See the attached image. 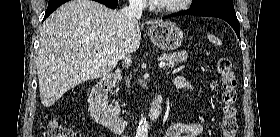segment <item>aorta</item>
<instances>
[{
	"label": "aorta",
	"mask_w": 280,
	"mask_h": 137,
	"mask_svg": "<svg viewBox=\"0 0 280 137\" xmlns=\"http://www.w3.org/2000/svg\"><path fill=\"white\" fill-rule=\"evenodd\" d=\"M148 122L145 117H142L139 120L137 131H136V137H148Z\"/></svg>",
	"instance_id": "762f6f07"
}]
</instances>
